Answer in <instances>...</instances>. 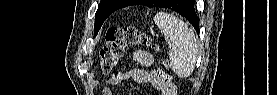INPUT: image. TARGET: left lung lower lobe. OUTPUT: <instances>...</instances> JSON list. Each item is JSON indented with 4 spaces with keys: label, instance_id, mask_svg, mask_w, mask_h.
<instances>
[{
    "label": "left lung lower lobe",
    "instance_id": "1",
    "mask_svg": "<svg viewBox=\"0 0 277 95\" xmlns=\"http://www.w3.org/2000/svg\"><path fill=\"white\" fill-rule=\"evenodd\" d=\"M150 0H133L129 5H145L148 6ZM177 0H163L159 7L168 8L176 11L177 13L184 16L192 26L198 30L199 21L197 14L194 11V0H181V2L176 5Z\"/></svg>",
    "mask_w": 277,
    "mask_h": 95
}]
</instances>
